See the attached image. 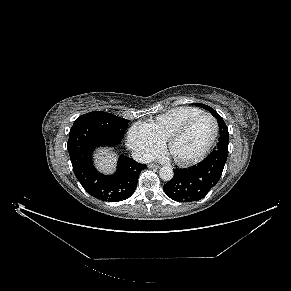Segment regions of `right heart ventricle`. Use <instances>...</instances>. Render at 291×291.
Masks as SVG:
<instances>
[{
    "label": "right heart ventricle",
    "mask_w": 291,
    "mask_h": 291,
    "mask_svg": "<svg viewBox=\"0 0 291 291\" xmlns=\"http://www.w3.org/2000/svg\"><path fill=\"white\" fill-rule=\"evenodd\" d=\"M200 113H203V111L198 108L178 107L157 116L154 120L143 124V127L160 142H163L171 132L187 119Z\"/></svg>",
    "instance_id": "obj_1"
}]
</instances>
